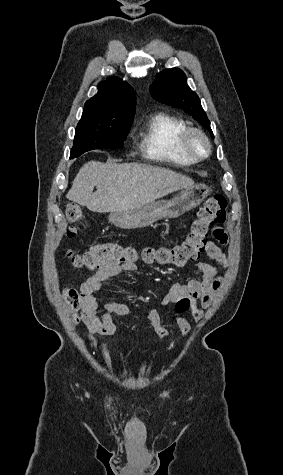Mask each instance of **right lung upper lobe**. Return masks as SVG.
Returning a JSON list of instances; mask_svg holds the SVG:
<instances>
[{
  "label": "right lung upper lobe",
  "mask_w": 283,
  "mask_h": 475,
  "mask_svg": "<svg viewBox=\"0 0 283 475\" xmlns=\"http://www.w3.org/2000/svg\"><path fill=\"white\" fill-rule=\"evenodd\" d=\"M98 89L99 92L85 105L116 107L136 104V95L132 87L117 77L99 83Z\"/></svg>",
  "instance_id": "cb5924a9"
}]
</instances>
